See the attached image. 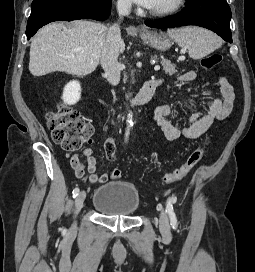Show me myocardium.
<instances>
[{"label": "myocardium", "mask_w": 255, "mask_h": 272, "mask_svg": "<svg viewBox=\"0 0 255 272\" xmlns=\"http://www.w3.org/2000/svg\"><path fill=\"white\" fill-rule=\"evenodd\" d=\"M186 0H175L169 6L158 9V10H149L148 13L155 17H164L176 13L179 11L185 4Z\"/></svg>", "instance_id": "1"}]
</instances>
